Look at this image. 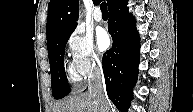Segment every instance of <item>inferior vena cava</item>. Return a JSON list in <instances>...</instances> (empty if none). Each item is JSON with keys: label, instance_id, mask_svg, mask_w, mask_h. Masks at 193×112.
Instances as JSON below:
<instances>
[{"label": "inferior vena cava", "instance_id": "inferior-vena-cava-1", "mask_svg": "<svg viewBox=\"0 0 193 112\" xmlns=\"http://www.w3.org/2000/svg\"><path fill=\"white\" fill-rule=\"evenodd\" d=\"M89 94L92 95L100 106V112H110L109 103L105 95V82L101 64H94L90 77L88 79Z\"/></svg>", "mask_w": 193, "mask_h": 112}]
</instances>
